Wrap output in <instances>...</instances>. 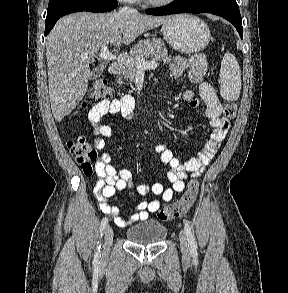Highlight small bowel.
<instances>
[{
    "label": "small bowel",
    "mask_w": 288,
    "mask_h": 293,
    "mask_svg": "<svg viewBox=\"0 0 288 293\" xmlns=\"http://www.w3.org/2000/svg\"><path fill=\"white\" fill-rule=\"evenodd\" d=\"M206 69L207 64L202 54H196L189 60L176 56L170 65L174 77L179 78L185 71H188L189 81L198 85L199 99L189 90L184 92L183 97L192 108L198 107L201 101L205 104V115L213 128L211 135L198 155L188 159L183 164L166 145L158 144L155 146V151L160 155L161 161L171 168L167 172L171 187L164 188L161 183H154L150 188L143 184L134 187L131 172L127 169L118 171L112 164L109 153L103 152L97 159L95 172L98 180L94 187V194L101 211L112 216L117 226L128 227L138 221H144L148 219L151 213L159 210L161 200L163 202L171 201L175 192H181L184 189L185 180L188 176L196 177L205 169L228 134L230 124L222 116V105L218 95L212 85L204 80ZM135 112V99L130 94H126L119 99L104 100L93 106L88 113V119L93 126L91 132L96 137V147L103 149L106 139L112 136L111 127L106 123L107 115L121 114L125 118H131ZM133 187L140 195H144L150 190L154 195L160 196L161 200L142 201L135 206H131L128 208L132 212L131 215L123 218L120 215V208L111 205L109 199L117 191Z\"/></svg>",
    "instance_id": "small-bowel-1"
}]
</instances>
